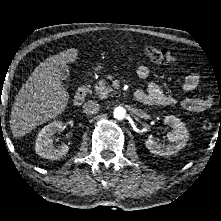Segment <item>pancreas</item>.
<instances>
[{
	"label": "pancreas",
	"instance_id": "cf45deb5",
	"mask_svg": "<svg viewBox=\"0 0 221 221\" xmlns=\"http://www.w3.org/2000/svg\"><path fill=\"white\" fill-rule=\"evenodd\" d=\"M112 91L113 89L107 86L105 80H101L95 85V94L101 99L107 98Z\"/></svg>",
	"mask_w": 221,
	"mask_h": 221
}]
</instances>
